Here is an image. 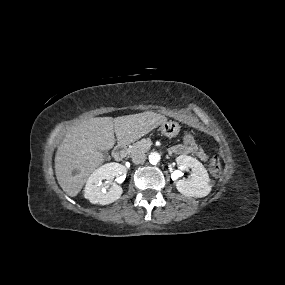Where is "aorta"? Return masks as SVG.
Returning a JSON list of instances; mask_svg holds the SVG:
<instances>
[{
    "label": "aorta",
    "instance_id": "obj_1",
    "mask_svg": "<svg viewBox=\"0 0 285 285\" xmlns=\"http://www.w3.org/2000/svg\"><path fill=\"white\" fill-rule=\"evenodd\" d=\"M161 159V156L157 152H152L149 154V162L151 164H157Z\"/></svg>",
    "mask_w": 285,
    "mask_h": 285
}]
</instances>
